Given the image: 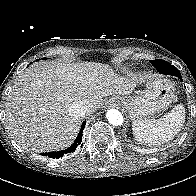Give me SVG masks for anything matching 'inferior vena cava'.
I'll use <instances>...</instances> for the list:
<instances>
[{
	"label": "inferior vena cava",
	"instance_id": "obj_1",
	"mask_svg": "<svg viewBox=\"0 0 196 196\" xmlns=\"http://www.w3.org/2000/svg\"><path fill=\"white\" fill-rule=\"evenodd\" d=\"M88 110V106L83 101H75L69 107V113L77 118L85 115Z\"/></svg>",
	"mask_w": 196,
	"mask_h": 196
}]
</instances>
